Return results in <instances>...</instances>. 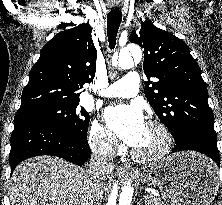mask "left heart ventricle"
<instances>
[{"label": "left heart ventricle", "mask_w": 222, "mask_h": 205, "mask_svg": "<svg viewBox=\"0 0 222 205\" xmlns=\"http://www.w3.org/2000/svg\"><path fill=\"white\" fill-rule=\"evenodd\" d=\"M163 143V137L155 127L146 125L145 131L134 149L138 152L148 155L158 151Z\"/></svg>", "instance_id": "1"}]
</instances>
